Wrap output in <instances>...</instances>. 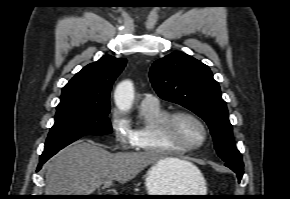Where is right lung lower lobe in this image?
<instances>
[{"mask_svg":"<svg viewBox=\"0 0 290 199\" xmlns=\"http://www.w3.org/2000/svg\"><path fill=\"white\" fill-rule=\"evenodd\" d=\"M58 151L56 152H51V153H43L41 156H40V159H39V165L37 167V170H40L42 165L50 158L52 157L54 154H56Z\"/></svg>","mask_w":290,"mask_h":199,"instance_id":"right-lung-lower-lobe-1","label":"right lung lower lobe"}]
</instances>
